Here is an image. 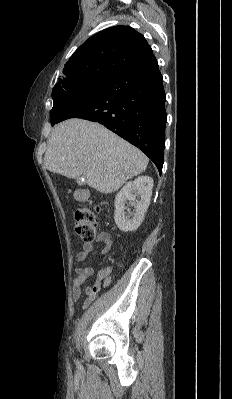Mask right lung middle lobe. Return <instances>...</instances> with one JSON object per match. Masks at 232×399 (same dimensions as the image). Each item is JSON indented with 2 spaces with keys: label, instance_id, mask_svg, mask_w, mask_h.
I'll list each match as a JSON object with an SVG mask.
<instances>
[{
  "label": "right lung middle lobe",
  "instance_id": "dd1d6c3e",
  "mask_svg": "<svg viewBox=\"0 0 232 399\" xmlns=\"http://www.w3.org/2000/svg\"><path fill=\"white\" fill-rule=\"evenodd\" d=\"M106 82L107 78H81L66 86L64 91L52 95L54 105L50 112L51 125L53 126L55 124L58 115L67 104L86 98L102 87Z\"/></svg>",
  "mask_w": 232,
  "mask_h": 399
}]
</instances>
